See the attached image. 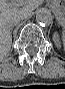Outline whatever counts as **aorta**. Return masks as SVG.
Listing matches in <instances>:
<instances>
[{"mask_svg":"<svg viewBox=\"0 0 65 89\" xmlns=\"http://www.w3.org/2000/svg\"><path fill=\"white\" fill-rule=\"evenodd\" d=\"M36 21L41 26H50L53 23V16L49 9L41 8L36 13Z\"/></svg>","mask_w":65,"mask_h":89,"instance_id":"aorta-1","label":"aorta"}]
</instances>
